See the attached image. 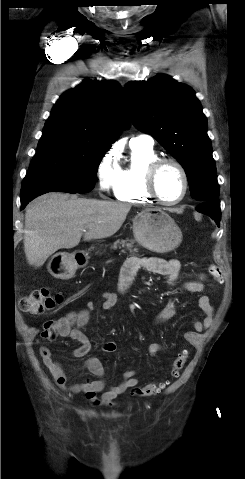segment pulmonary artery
Instances as JSON below:
<instances>
[{
	"label": "pulmonary artery",
	"instance_id": "1",
	"mask_svg": "<svg viewBox=\"0 0 245 479\" xmlns=\"http://www.w3.org/2000/svg\"><path fill=\"white\" fill-rule=\"evenodd\" d=\"M131 143L142 144L145 146H153L154 140L151 136L146 134H140L131 139Z\"/></svg>",
	"mask_w": 245,
	"mask_h": 479
}]
</instances>
